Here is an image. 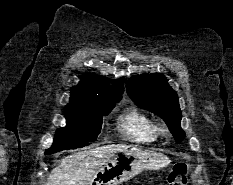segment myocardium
Masks as SVG:
<instances>
[{
  "label": "myocardium",
  "mask_w": 233,
  "mask_h": 185,
  "mask_svg": "<svg viewBox=\"0 0 233 185\" xmlns=\"http://www.w3.org/2000/svg\"><path fill=\"white\" fill-rule=\"evenodd\" d=\"M159 130L162 131V132H165V131H166L165 128H160Z\"/></svg>",
  "instance_id": "1"
}]
</instances>
